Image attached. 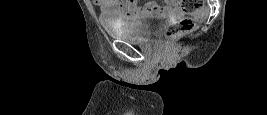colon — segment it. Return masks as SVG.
I'll return each mask as SVG.
<instances>
[{"instance_id": "obj_1", "label": "colon", "mask_w": 267, "mask_h": 115, "mask_svg": "<svg viewBox=\"0 0 267 115\" xmlns=\"http://www.w3.org/2000/svg\"><path fill=\"white\" fill-rule=\"evenodd\" d=\"M183 5L186 12L199 10L202 6L200 0H184ZM194 28V20L191 18H184L175 24L169 25L161 35V39L165 42H171L192 32Z\"/></svg>"}]
</instances>
